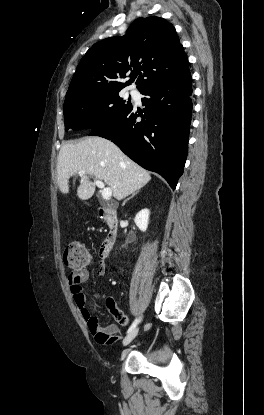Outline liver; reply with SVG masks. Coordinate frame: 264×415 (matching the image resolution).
<instances>
[{
    "label": "liver",
    "instance_id": "obj_1",
    "mask_svg": "<svg viewBox=\"0 0 264 415\" xmlns=\"http://www.w3.org/2000/svg\"><path fill=\"white\" fill-rule=\"evenodd\" d=\"M84 170L80 176L77 196L88 200L95 192L94 176L104 181L114 198L122 200L145 186L151 176L148 171L127 157L114 143L101 137H87L76 143H67L60 149L57 161V182L62 193L69 192V179Z\"/></svg>",
    "mask_w": 264,
    "mask_h": 415
}]
</instances>
